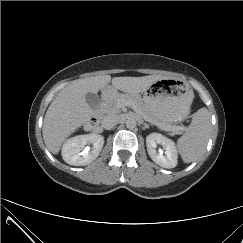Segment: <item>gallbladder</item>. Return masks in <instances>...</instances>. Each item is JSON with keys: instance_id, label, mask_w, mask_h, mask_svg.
<instances>
[{"instance_id": "1", "label": "gallbladder", "mask_w": 243, "mask_h": 243, "mask_svg": "<svg viewBox=\"0 0 243 243\" xmlns=\"http://www.w3.org/2000/svg\"><path fill=\"white\" fill-rule=\"evenodd\" d=\"M86 102L92 109H96L99 106L100 98L98 94L87 93L85 95Z\"/></svg>"}]
</instances>
